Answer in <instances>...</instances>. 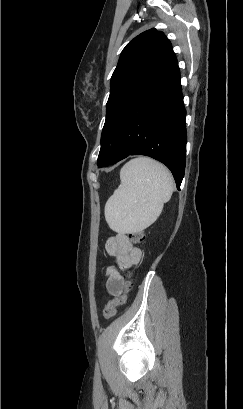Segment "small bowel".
<instances>
[{"instance_id":"1","label":"small bowel","mask_w":243,"mask_h":409,"mask_svg":"<svg viewBox=\"0 0 243 409\" xmlns=\"http://www.w3.org/2000/svg\"><path fill=\"white\" fill-rule=\"evenodd\" d=\"M106 251L115 261L117 267L121 269L130 268L141 258V251L134 246L128 236L118 232L115 236L107 239L105 244ZM106 289L109 294L118 295L124 285V278L114 267H108L106 270Z\"/></svg>"}]
</instances>
